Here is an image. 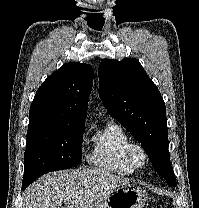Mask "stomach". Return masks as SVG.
<instances>
[{"label":"stomach","instance_id":"stomach-1","mask_svg":"<svg viewBox=\"0 0 199 208\" xmlns=\"http://www.w3.org/2000/svg\"><path fill=\"white\" fill-rule=\"evenodd\" d=\"M148 200L144 189L123 185L94 208H143Z\"/></svg>","mask_w":199,"mask_h":208}]
</instances>
